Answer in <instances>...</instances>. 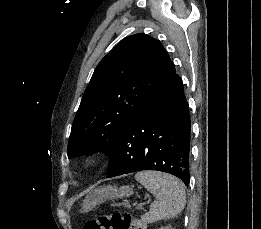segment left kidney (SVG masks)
I'll use <instances>...</instances> for the list:
<instances>
[{
	"mask_svg": "<svg viewBox=\"0 0 261 229\" xmlns=\"http://www.w3.org/2000/svg\"><path fill=\"white\" fill-rule=\"evenodd\" d=\"M161 229H172V227L169 225V227H161Z\"/></svg>",
	"mask_w": 261,
	"mask_h": 229,
	"instance_id": "obj_1",
	"label": "left kidney"
}]
</instances>
